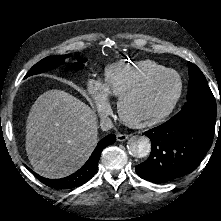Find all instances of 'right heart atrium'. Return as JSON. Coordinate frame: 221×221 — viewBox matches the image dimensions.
Listing matches in <instances>:
<instances>
[{"mask_svg": "<svg viewBox=\"0 0 221 221\" xmlns=\"http://www.w3.org/2000/svg\"><path fill=\"white\" fill-rule=\"evenodd\" d=\"M88 93L92 104L101 117L111 114L109 93L102 82L96 80L90 81L88 84Z\"/></svg>", "mask_w": 221, "mask_h": 221, "instance_id": "right-heart-atrium-1", "label": "right heart atrium"}]
</instances>
